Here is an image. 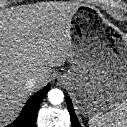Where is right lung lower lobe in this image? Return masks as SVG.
<instances>
[{
	"mask_svg": "<svg viewBox=\"0 0 127 127\" xmlns=\"http://www.w3.org/2000/svg\"><path fill=\"white\" fill-rule=\"evenodd\" d=\"M50 85L35 93L24 106L19 117L7 127H35L38 108Z\"/></svg>",
	"mask_w": 127,
	"mask_h": 127,
	"instance_id": "1",
	"label": "right lung lower lobe"
}]
</instances>
